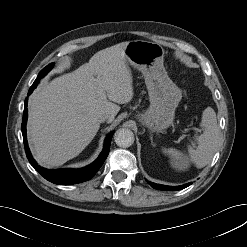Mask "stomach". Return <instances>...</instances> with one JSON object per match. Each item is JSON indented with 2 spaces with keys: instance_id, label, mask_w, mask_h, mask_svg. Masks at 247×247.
Returning a JSON list of instances; mask_svg holds the SVG:
<instances>
[{
  "instance_id": "0dacf381",
  "label": "stomach",
  "mask_w": 247,
  "mask_h": 247,
  "mask_svg": "<svg viewBox=\"0 0 247 247\" xmlns=\"http://www.w3.org/2000/svg\"><path fill=\"white\" fill-rule=\"evenodd\" d=\"M126 62L144 76L150 107L138 115L139 121L152 131L169 127L182 93L169 78L164 67V49L155 42L133 40L125 48Z\"/></svg>"
}]
</instances>
